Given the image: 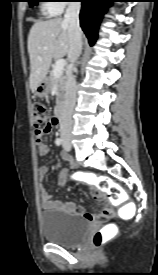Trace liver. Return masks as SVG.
Returning <instances> with one entry per match:
<instances>
[{"instance_id": "obj_1", "label": "liver", "mask_w": 158, "mask_h": 275, "mask_svg": "<svg viewBox=\"0 0 158 275\" xmlns=\"http://www.w3.org/2000/svg\"><path fill=\"white\" fill-rule=\"evenodd\" d=\"M69 50L68 24L62 18L37 21L28 35L30 57V88L34 93L46 77L52 59H61Z\"/></svg>"}]
</instances>
